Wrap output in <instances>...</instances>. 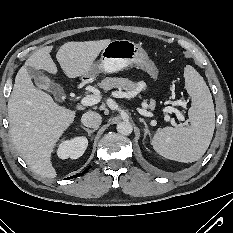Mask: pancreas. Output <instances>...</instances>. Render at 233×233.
<instances>
[{
    "instance_id": "1",
    "label": "pancreas",
    "mask_w": 233,
    "mask_h": 233,
    "mask_svg": "<svg viewBox=\"0 0 233 233\" xmlns=\"http://www.w3.org/2000/svg\"><path fill=\"white\" fill-rule=\"evenodd\" d=\"M99 86L105 91H109L112 88L130 91V90H135L140 86H144V84L142 82H138V83L132 82L128 78L107 77L99 83ZM154 105H155L154 100H151L150 107H153Z\"/></svg>"
}]
</instances>
